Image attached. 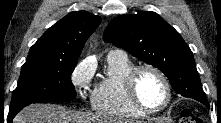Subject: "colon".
I'll return each instance as SVG.
<instances>
[{"label":"colon","mask_w":221,"mask_h":123,"mask_svg":"<svg viewBox=\"0 0 221 123\" xmlns=\"http://www.w3.org/2000/svg\"><path fill=\"white\" fill-rule=\"evenodd\" d=\"M179 123H201V119L193 112L185 110L180 113Z\"/></svg>","instance_id":"1"}]
</instances>
